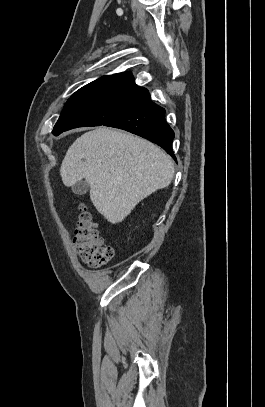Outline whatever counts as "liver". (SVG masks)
I'll list each match as a JSON object with an SVG mask.
<instances>
[{"mask_svg": "<svg viewBox=\"0 0 265 407\" xmlns=\"http://www.w3.org/2000/svg\"><path fill=\"white\" fill-rule=\"evenodd\" d=\"M60 175L67 187L85 179L97 211L117 224L140 201L171 183L174 164L162 149L145 139L98 127L69 147Z\"/></svg>", "mask_w": 265, "mask_h": 407, "instance_id": "obj_1", "label": "liver"}]
</instances>
